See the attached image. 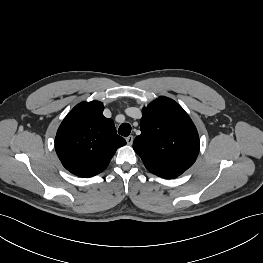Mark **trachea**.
Wrapping results in <instances>:
<instances>
[{
  "instance_id": "3493384b",
  "label": "trachea",
  "mask_w": 263,
  "mask_h": 263,
  "mask_svg": "<svg viewBox=\"0 0 263 263\" xmlns=\"http://www.w3.org/2000/svg\"><path fill=\"white\" fill-rule=\"evenodd\" d=\"M131 132V125L129 123H123L118 129V133L124 137L128 136Z\"/></svg>"
}]
</instances>
